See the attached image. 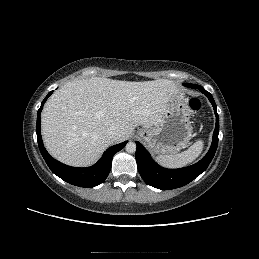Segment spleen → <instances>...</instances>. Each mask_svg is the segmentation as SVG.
I'll use <instances>...</instances> for the list:
<instances>
[{"mask_svg":"<svg viewBox=\"0 0 259 259\" xmlns=\"http://www.w3.org/2000/svg\"><path fill=\"white\" fill-rule=\"evenodd\" d=\"M204 143L199 140L191 145L187 150L175 155H159L157 162L168 168H179L192 163L201 154Z\"/></svg>","mask_w":259,"mask_h":259,"instance_id":"spleen-1","label":"spleen"}]
</instances>
